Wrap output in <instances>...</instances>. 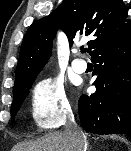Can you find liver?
Listing matches in <instances>:
<instances>
[{
    "instance_id": "6515ba94",
    "label": "liver",
    "mask_w": 131,
    "mask_h": 151,
    "mask_svg": "<svg viewBox=\"0 0 131 151\" xmlns=\"http://www.w3.org/2000/svg\"><path fill=\"white\" fill-rule=\"evenodd\" d=\"M12 151H76V148L65 132H55L33 142L17 144Z\"/></svg>"
}]
</instances>
